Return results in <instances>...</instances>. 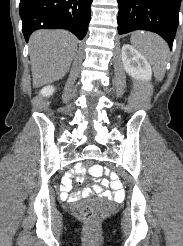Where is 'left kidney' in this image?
Listing matches in <instances>:
<instances>
[{
	"mask_svg": "<svg viewBox=\"0 0 183 246\" xmlns=\"http://www.w3.org/2000/svg\"><path fill=\"white\" fill-rule=\"evenodd\" d=\"M121 52L124 68L130 76L143 81L151 80V66L141 53L128 44L123 45Z\"/></svg>",
	"mask_w": 183,
	"mask_h": 246,
	"instance_id": "left-kidney-1",
	"label": "left kidney"
}]
</instances>
